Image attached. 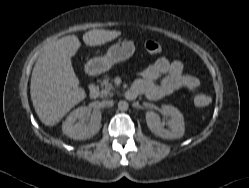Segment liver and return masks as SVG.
Instances as JSON below:
<instances>
[{
	"label": "liver",
	"instance_id": "liver-1",
	"mask_svg": "<svg viewBox=\"0 0 249 188\" xmlns=\"http://www.w3.org/2000/svg\"><path fill=\"white\" fill-rule=\"evenodd\" d=\"M120 31L91 30L83 35L88 46H99L114 40ZM81 43L77 36L69 35L49 43L38 57L31 76L30 95L34 109L47 126L56 125L75 105L85 99L79 87L71 57Z\"/></svg>",
	"mask_w": 249,
	"mask_h": 188
}]
</instances>
